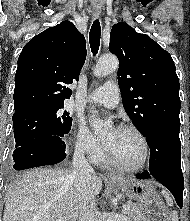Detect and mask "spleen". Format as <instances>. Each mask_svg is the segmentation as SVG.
I'll return each instance as SVG.
<instances>
[{
    "label": "spleen",
    "mask_w": 190,
    "mask_h": 221,
    "mask_svg": "<svg viewBox=\"0 0 190 221\" xmlns=\"http://www.w3.org/2000/svg\"><path fill=\"white\" fill-rule=\"evenodd\" d=\"M162 194L164 198L166 199L168 206H172L173 200L170 197L169 193L166 190H162ZM170 216H171L172 221H178V213L176 211H173Z\"/></svg>",
    "instance_id": "3e777b00"
}]
</instances>
